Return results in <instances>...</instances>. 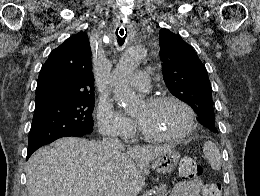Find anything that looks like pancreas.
<instances>
[{
    "label": "pancreas",
    "instance_id": "cf45deb5",
    "mask_svg": "<svg viewBox=\"0 0 260 196\" xmlns=\"http://www.w3.org/2000/svg\"><path fill=\"white\" fill-rule=\"evenodd\" d=\"M154 196H166L168 190L166 184H161V186H155L152 190Z\"/></svg>",
    "mask_w": 260,
    "mask_h": 196
}]
</instances>
